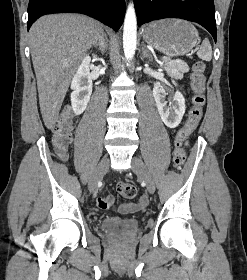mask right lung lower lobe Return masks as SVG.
I'll return each instance as SVG.
<instances>
[{
    "instance_id": "98d812e1",
    "label": "right lung lower lobe",
    "mask_w": 247,
    "mask_h": 280,
    "mask_svg": "<svg viewBox=\"0 0 247 280\" xmlns=\"http://www.w3.org/2000/svg\"><path fill=\"white\" fill-rule=\"evenodd\" d=\"M82 13L109 25L117 31L124 19V0H30L27 29L42 15L49 13Z\"/></svg>"
}]
</instances>
